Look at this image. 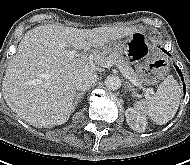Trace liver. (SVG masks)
I'll list each match as a JSON object with an SVG mask.
<instances>
[{
  "label": "liver",
  "mask_w": 190,
  "mask_h": 165,
  "mask_svg": "<svg viewBox=\"0 0 190 165\" xmlns=\"http://www.w3.org/2000/svg\"><path fill=\"white\" fill-rule=\"evenodd\" d=\"M130 27L78 29L60 24L38 26L25 33L9 60L2 83L7 105L29 124L52 128L68 121L76 94L75 80L94 64L67 56L68 49L94 48L92 59L100 64V49L111 41L132 35Z\"/></svg>",
  "instance_id": "6515ba94"
}]
</instances>
